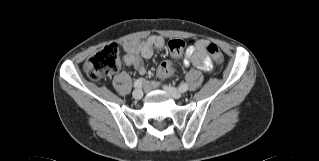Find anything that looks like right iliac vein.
Masks as SVG:
<instances>
[{
	"instance_id": "1",
	"label": "right iliac vein",
	"mask_w": 319,
	"mask_h": 161,
	"mask_svg": "<svg viewBox=\"0 0 319 161\" xmlns=\"http://www.w3.org/2000/svg\"><path fill=\"white\" fill-rule=\"evenodd\" d=\"M132 95H133L134 99L140 100L142 98V96H143V92L140 89H136V90L133 91Z\"/></svg>"
}]
</instances>
